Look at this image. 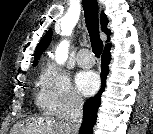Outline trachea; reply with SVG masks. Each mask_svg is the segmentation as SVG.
<instances>
[{
  "instance_id": "3493384b",
  "label": "trachea",
  "mask_w": 153,
  "mask_h": 134,
  "mask_svg": "<svg viewBox=\"0 0 153 134\" xmlns=\"http://www.w3.org/2000/svg\"><path fill=\"white\" fill-rule=\"evenodd\" d=\"M83 9L86 27L91 39L92 51L96 55V57H100L103 50V42L99 36L97 0H83Z\"/></svg>"
}]
</instances>
